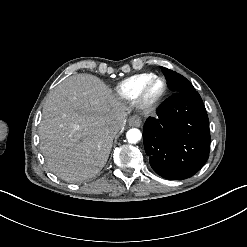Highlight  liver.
<instances>
[{
    "mask_svg": "<svg viewBox=\"0 0 247 247\" xmlns=\"http://www.w3.org/2000/svg\"><path fill=\"white\" fill-rule=\"evenodd\" d=\"M128 110L96 76L64 79L46 100L39 126L40 149L49 169L68 182L94 177L112 148L109 126L124 129Z\"/></svg>",
    "mask_w": 247,
    "mask_h": 247,
    "instance_id": "6515ba94",
    "label": "liver"
}]
</instances>
